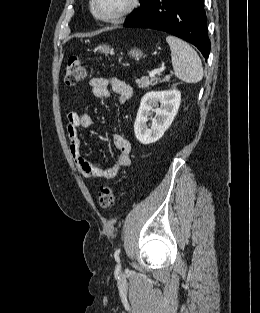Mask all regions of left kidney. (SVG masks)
Returning <instances> with one entry per match:
<instances>
[{"label": "left kidney", "mask_w": 260, "mask_h": 313, "mask_svg": "<svg viewBox=\"0 0 260 313\" xmlns=\"http://www.w3.org/2000/svg\"><path fill=\"white\" fill-rule=\"evenodd\" d=\"M180 102L181 93L175 89L151 91L144 95L134 123L135 136L139 142L147 145L158 141L172 124ZM149 119L152 121L151 125H147Z\"/></svg>", "instance_id": "1"}]
</instances>
